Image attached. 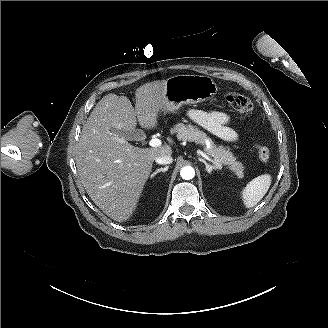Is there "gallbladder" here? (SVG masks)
Listing matches in <instances>:
<instances>
[{
    "label": "gallbladder",
    "instance_id": "1",
    "mask_svg": "<svg viewBox=\"0 0 328 328\" xmlns=\"http://www.w3.org/2000/svg\"><path fill=\"white\" fill-rule=\"evenodd\" d=\"M112 133L124 137L127 140H143L145 134L142 130L136 129L134 131L125 132L123 130L112 129Z\"/></svg>",
    "mask_w": 328,
    "mask_h": 328
}]
</instances>
